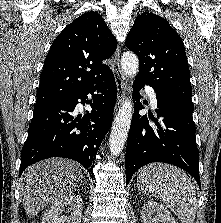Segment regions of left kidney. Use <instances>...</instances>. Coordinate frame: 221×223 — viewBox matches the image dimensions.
Returning <instances> with one entry per match:
<instances>
[{
  "instance_id": "obj_1",
  "label": "left kidney",
  "mask_w": 221,
  "mask_h": 223,
  "mask_svg": "<svg viewBox=\"0 0 221 223\" xmlns=\"http://www.w3.org/2000/svg\"><path fill=\"white\" fill-rule=\"evenodd\" d=\"M142 223H176L171 213L162 204L148 201L141 212Z\"/></svg>"
}]
</instances>
